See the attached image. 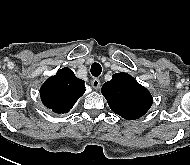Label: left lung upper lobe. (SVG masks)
<instances>
[{
	"mask_svg": "<svg viewBox=\"0 0 190 165\" xmlns=\"http://www.w3.org/2000/svg\"><path fill=\"white\" fill-rule=\"evenodd\" d=\"M101 92L110 109L127 120L138 119L151 107L152 96L131 75L117 73L103 84Z\"/></svg>",
	"mask_w": 190,
	"mask_h": 165,
	"instance_id": "left-lung-upper-lobe-1",
	"label": "left lung upper lobe"
}]
</instances>
